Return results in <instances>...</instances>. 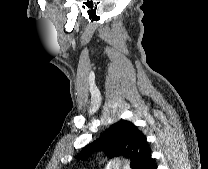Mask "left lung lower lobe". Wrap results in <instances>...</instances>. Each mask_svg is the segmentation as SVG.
<instances>
[{
	"instance_id": "1",
	"label": "left lung lower lobe",
	"mask_w": 208,
	"mask_h": 169,
	"mask_svg": "<svg viewBox=\"0 0 208 169\" xmlns=\"http://www.w3.org/2000/svg\"><path fill=\"white\" fill-rule=\"evenodd\" d=\"M137 169H157V165L155 164V162L151 156L150 148L148 150H146V152L142 156Z\"/></svg>"
}]
</instances>
